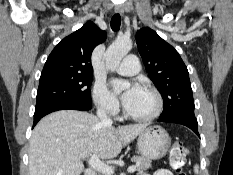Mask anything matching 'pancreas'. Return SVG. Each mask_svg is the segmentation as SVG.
Instances as JSON below:
<instances>
[{
  "instance_id": "cf45deb5",
  "label": "pancreas",
  "mask_w": 233,
  "mask_h": 175,
  "mask_svg": "<svg viewBox=\"0 0 233 175\" xmlns=\"http://www.w3.org/2000/svg\"><path fill=\"white\" fill-rule=\"evenodd\" d=\"M132 161L137 163V170L143 171L151 167V160L143 156H133Z\"/></svg>"
}]
</instances>
